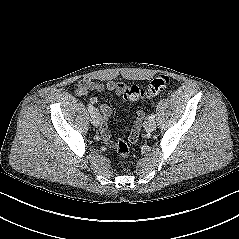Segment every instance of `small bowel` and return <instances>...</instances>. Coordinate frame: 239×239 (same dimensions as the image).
Returning <instances> with one entry per match:
<instances>
[{"instance_id":"1","label":"small bowel","mask_w":239,"mask_h":239,"mask_svg":"<svg viewBox=\"0 0 239 239\" xmlns=\"http://www.w3.org/2000/svg\"><path fill=\"white\" fill-rule=\"evenodd\" d=\"M125 85L122 82L119 81H110L106 84H102L99 82H94L89 79H82L80 80L75 88V94L77 96H83L86 95L89 92H113L115 95L120 96L123 94ZM91 104L96 105L98 103L97 98L93 97L90 99ZM99 111L101 113V138L104 143L111 145V137L109 130L107 128V121L110 118L112 114V109L108 104H101L99 106ZM142 115H140L137 119V123H139ZM139 135V125H138V132H135V129L133 128L130 132V140L131 142H136Z\"/></svg>"}]
</instances>
